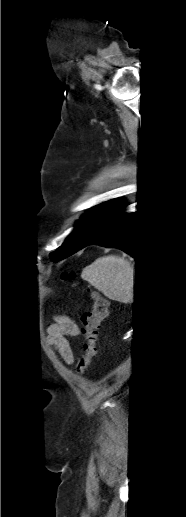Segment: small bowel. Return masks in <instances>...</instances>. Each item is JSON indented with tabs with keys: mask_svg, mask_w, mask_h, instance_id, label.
<instances>
[{
	"mask_svg": "<svg viewBox=\"0 0 186 517\" xmlns=\"http://www.w3.org/2000/svg\"><path fill=\"white\" fill-rule=\"evenodd\" d=\"M79 326L67 316H58L56 321L48 329V342L62 357L66 364L74 363V353L67 337H78Z\"/></svg>",
	"mask_w": 186,
	"mask_h": 517,
	"instance_id": "obj_1",
	"label": "small bowel"
}]
</instances>
